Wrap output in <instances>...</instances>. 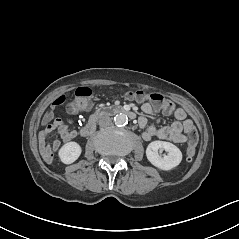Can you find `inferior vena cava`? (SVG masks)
Segmentation results:
<instances>
[{
	"mask_svg": "<svg viewBox=\"0 0 239 239\" xmlns=\"http://www.w3.org/2000/svg\"><path fill=\"white\" fill-rule=\"evenodd\" d=\"M112 120L109 116H102L98 119V125L100 127H107L109 125H111Z\"/></svg>",
	"mask_w": 239,
	"mask_h": 239,
	"instance_id": "obj_1",
	"label": "inferior vena cava"
}]
</instances>
